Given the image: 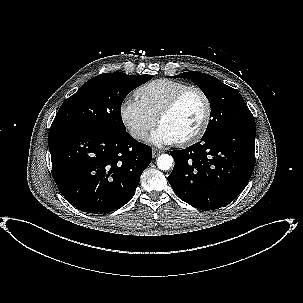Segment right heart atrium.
I'll use <instances>...</instances> for the list:
<instances>
[{
	"label": "right heart atrium",
	"mask_w": 303,
	"mask_h": 303,
	"mask_svg": "<svg viewBox=\"0 0 303 303\" xmlns=\"http://www.w3.org/2000/svg\"><path fill=\"white\" fill-rule=\"evenodd\" d=\"M119 113L124 126L135 140L144 139L156 124V118L148 113L137 98H125Z\"/></svg>",
	"instance_id": "d8ad5b80"
}]
</instances>
